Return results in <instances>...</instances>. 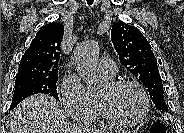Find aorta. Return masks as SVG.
<instances>
[{"instance_id":"762f6f07","label":"aorta","mask_w":184,"mask_h":133,"mask_svg":"<svg viewBox=\"0 0 184 133\" xmlns=\"http://www.w3.org/2000/svg\"><path fill=\"white\" fill-rule=\"evenodd\" d=\"M98 56L99 44L95 40L78 44L73 52L76 70L90 91L99 90L105 82V77L98 70Z\"/></svg>"}]
</instances>
